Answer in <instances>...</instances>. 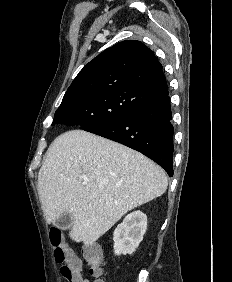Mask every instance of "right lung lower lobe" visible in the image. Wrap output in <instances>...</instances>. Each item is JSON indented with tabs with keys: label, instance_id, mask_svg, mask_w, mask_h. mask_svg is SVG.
Instances as JSON below:
<instances>
[{
	"label": "right lung lower lobe",
	"instance_id": "right-lung-lower-lobe-1",
	"mask_svg": "<svg viewBox=\"0 0 232 282\" xmlns=\"http://www.w3.org/2000/svg\"><path fill=\"white\" fill-rule=\"evenodd\" d=\"M172 114L168 92L138 113L83 130L137 150L173 176Z\"/></svg>",
	"mask_w": 232,
	"mask_h": 282
}]
</instances>
